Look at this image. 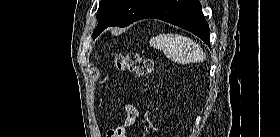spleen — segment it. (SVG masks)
<instances>
[{
	"label": "spleen",
	"instance_id": "spleen-1",
	"mask_svg": "<svg viewBox=\"0 0 280 137\" xmlns=\"http://www.w3.org/2000/svg\"><path fill=\"white\" fill-rule=\"evenodd\" d=\"M149 44L155 49L162 50L168 59L176 63H199L205 59L200 45L183 35L160 34L151 38Z\"/></svg>",
	"mask_w": 280,
	"mask_h": 137
}]
</instances>
